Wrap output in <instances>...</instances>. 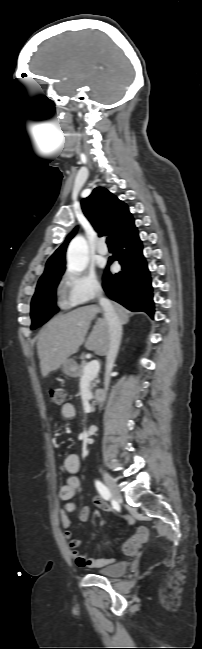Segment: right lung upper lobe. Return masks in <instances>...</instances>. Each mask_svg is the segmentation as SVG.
Instances as JSON below:
<instances>
[{
  "label": "right lung upper lobe",
  "instance_id": "1",
  "mask_svg": "<svg viewBox=\"0 0 202 649\" xmlns=\"http://www.w3.org/2000/svg\"><path fill=\"white\" fill-rule=\"evenodd\" d=\"M84 215L99 236L109 234L116 240L135 229L134 219L127 205L103 187H97L91 195L81 201ZM75 228L64 243L48 259L43 276L64 272L65 253L70 240L76 234Z\"/></svg>",
  "mask_w": 202,
  "mask_h": 649
}]
</instances>
